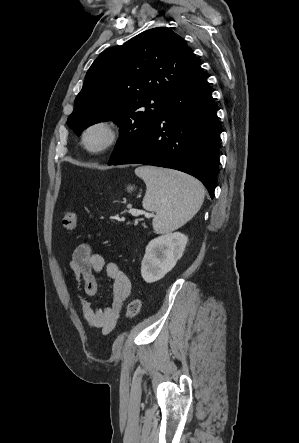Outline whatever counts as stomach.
<instances>
[{"label": "stomach", "mask_w": 299, "mask_h": 443, "mask_svg": "<svg viewBox=\"0 0 299 443\" xmlns=\"http://www.w3.org/2000/svg\"><path fill=\"white\" fill-rule=\"evenodd\" d=\"M127 189H128L129 191H132V190H133V187H132V186H129Z\"/></svg>", "instance_id": "0dacf381"}]
</instances>
